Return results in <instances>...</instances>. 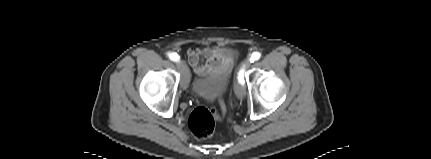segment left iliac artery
I'll use <instances>...</instances> for the list:
<instances>
[{
    "instance_id": "left-iliac-artery-1",
    "label": "left iliac artery",
    "mask_w": 431,
    "mask_h": 159,
    "mask_svg": "<svg viewBox=\"0 0 431 159\" xmlns=\"http://www.w3.org/2000/svg\"><path fill=\"white\" fill-rule=\"evenodd\" d=\"M260 56H261V54H260L259 52H254V53L251 55V57H250V61H251V62L257 61V60H259ZM238 81H239L242 85H244V84H245V81H244V74H243V69H241V70H240V72H239V74H238Z\"/></svg>"
}]
</instances>
